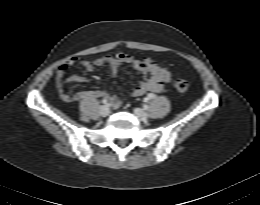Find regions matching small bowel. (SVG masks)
Wrapping results in <instances>:
<instances>
[{"mask_svg":"<svg viewBox=\"0 0 260 205\" xmlns=\"http://www.w3.org/2000/svg\"><path fill=\"white\" fill-rule=\"evenodd\" d=\"M75 64H79L87 71H93L96 68L108 66L111 74L114 76L118 74L122 65H130L144 75L143 80L132 91V95L135 97H140L147 92L159 93L171 79L169 70L158 65L157 62L150 57L137 58L125 52H117L112 55H104L90 60H81L73 57L62 63L56 73V84L61 92V98L65 102L89 97H104L109 100V103L113 108H118L121 104L119 96L102 90H91L74 94L67 93L66 89L70 85L84 81L81 77L74 78L71 81L66 80L67 71Z\"/></svg>","mask_w":260,"mask_h":205,"instance_id":"1","label":"small bowel"}]
</instances>
